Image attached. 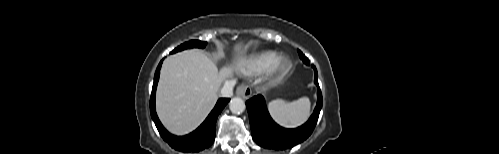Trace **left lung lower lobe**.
I'll list each match as a JSON object with an SVG mask.
<instances>
[{"label":"left lung lower lobe","instance_id":"obj_1","mask_svg":"<svg viewBox=\"0 0 499 154\" xmlns=\"http://www.w3.org/2000/svg\"><path fill=\"white\" fill-rule=\"evenodd\" d=\"M312 67L315 72L314 83L318 87V100L313 114L302 126L286 129L277 125L270 117L261 95L254 96L246 102L252 138L259 146L275 150L289 149L306 140L313 132L322 108V94L318 84L317 70L314 65Z\"/></svg>","mask_w":499,"mask_h":154}]
</instances>
